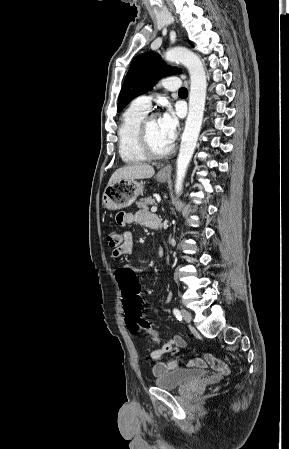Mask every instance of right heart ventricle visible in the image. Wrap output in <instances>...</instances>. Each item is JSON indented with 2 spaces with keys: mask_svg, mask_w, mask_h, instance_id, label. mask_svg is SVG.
Returning a JSON list of instances; mask_svg holds the SVG:
<instances>
[{
  "mask_svg": "<svg viewBox=\"0 0 289 449\" xmlns=\"http://www.w3.org/2000/svg\"><path fill=\"white\" fill-rule=\"evenodd\" d=\"M147 112L131 105L122 115L118 129L119 154L126 163H138L146 160L141 152L138 133Z\"/></svg>",
  "mask_w": 289,
  "mask_h": 449,
  "instance_id": "1",
  "label": "right heart ventricle"
}]
</instances>
